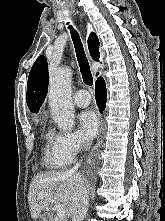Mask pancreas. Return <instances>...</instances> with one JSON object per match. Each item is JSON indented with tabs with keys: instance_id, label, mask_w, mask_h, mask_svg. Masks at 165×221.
<instances>
[{
	"instance_id": "pancreas-1",
	"label": "pancreas",
	"mask_w": 165,
	"mask_h": 221,
	"mask_svg": "<svg viewBox=\"0 0 165 221\" xmlns=\"http://www.w3.org/2000/svg\"><path fill=\"white\" fill-rule=\"evenodd\" d=\"M51 221H67V219H65V218H63V219L53 218Z\"/></svg>"
}]
</instances>
